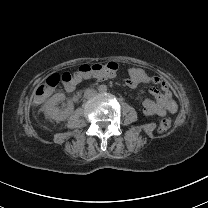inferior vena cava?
<instances>
[{"instance_id":"inferior-vena-cava-1","label":"inferior vena cava","mask_w":208,"mask_h":208,"mask_svg":"<svg viewBox=\"0 0 208 208\" xmlns=\"http://www.w3.org/2000/svg\"><path fill=\"white\" fill-rule=\"evenodd\" d=\"M96 95V91L94 89H86L84 92V98L90 99Z\"/></svg>"}]
</instances>
